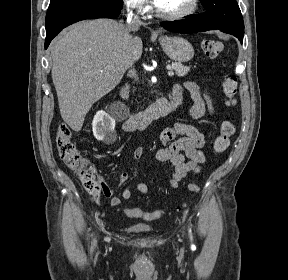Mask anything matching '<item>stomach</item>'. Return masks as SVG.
<instances>
[{
	"label": "stomach",
	"mask_w": 288,
	"mask_h": 280,
	"mask_svg": "<svg viewBox=\"0 0 288 280\" xmlns=\"http://www.w3.org/2000/svg\"><path fill=\"white\" fill-rule=\"evenodd\" d=\"M160 44L166 55L177 63L188 62L194 56L192 44L178 36H162Z\"/></svg>",
	"instance_id": "1"
}]
</instances>
